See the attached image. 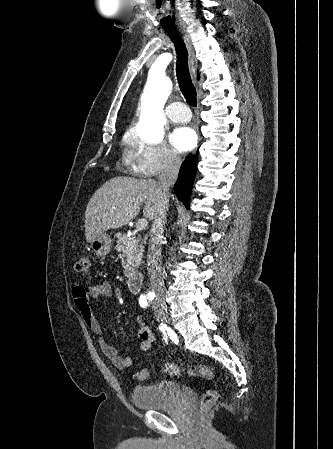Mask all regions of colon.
Segmentation results:
<instances>
[{
	"mask_svg": "<svg viewBox=\"0 0 333 449\" xmlns=\"http://www.w3.org/2000/svg\"><path fill=\"white\" fill-rule=\"evenodd\" d=\"M76 270L81 273H87L91 267V255L89 253L82 254L76 262ZM162 370L171 375L179 376L182 372L181 368L175 363H165L162 366ZM149 371L146 368H142L136 373V377L139 380H144L148 377ZM187 374L191 377L199 376L206 380H212L214 378L213 371L204 365H193L188 368ZM217 399V392L213 389L206 391L201 398V406L209 407L214 404Z\"/></svg>",
	"mask_w": 333,
	"mask_h": 449,
	"instance_id": "obj_1",
	"label": "colon"
}]
</instances>
